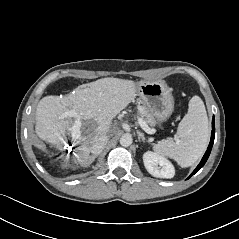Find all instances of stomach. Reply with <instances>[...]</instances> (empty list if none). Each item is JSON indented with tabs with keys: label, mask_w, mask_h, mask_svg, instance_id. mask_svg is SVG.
Returning <instances> with one entry per match:
<instances>
[{
	"label": "stomach",
	"mask_w": 239,
	"mask_h": 239,
	"mask_svg": "<svg viewBox=\"0 0 239 239\" xmlns=\"http://www.w3.org/2000/svg\"><path fill=\"white\" fill-rule=\"evenodd\" d=\"M137 95L147 106L150 113L161 124L172 115L174 98L172 90L164 81H142L137 84Z\"/></svg>",
	"instance_id": "obj_1"
}]
</instances>
